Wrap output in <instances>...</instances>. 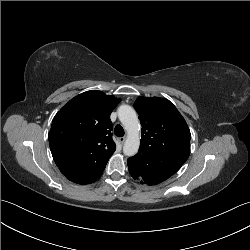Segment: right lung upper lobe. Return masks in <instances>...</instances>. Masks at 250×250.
Masks as SVG:
<instances>
[{"label":"right lung upper lobe","instance_id":"right-lung-upper-lobe-1","mask_svg":"<svg viewBox=\"0 0 250 250\" xmlns=\"http://www.w3.org/2000/svg\"><path fill=\"white\" fill-rule=\"evenodd\" d=\"M121 100L91 90L71 99L55 115L48 134L61 173L78 184L93 183L115 151L110 113Z\"/></svg>","mask_w":250,"mask_h":250}]
</instances>
